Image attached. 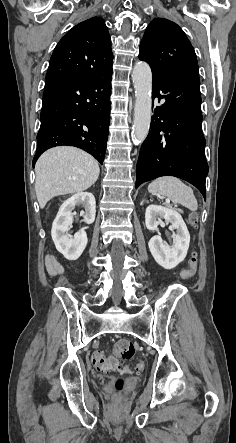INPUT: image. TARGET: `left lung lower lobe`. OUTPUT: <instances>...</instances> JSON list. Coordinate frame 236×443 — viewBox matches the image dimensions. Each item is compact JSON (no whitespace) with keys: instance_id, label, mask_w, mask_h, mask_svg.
I'll return each instance as SVG.
<instances>
[{"instance_id":"0a47b994","label":"left lung lower lobe","mask_w":236,"mask_h":443,"mask_svg":"<svg viewBox=\"0 0 236 443\" xmlns=\"http://www.w3.org/2000/svg\"><path fill=\"white\" fill-rule=\"evenodd\" d=\"M152 76L154 113L139 154L136 188L143 182L170 175L193 184L206 199L208 164L199 75L171 71Z\"/></svg>"}]
</instances>
